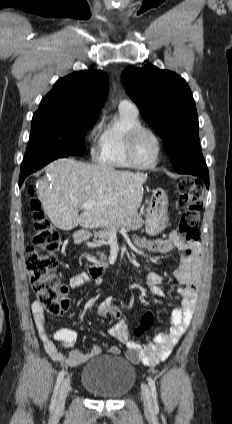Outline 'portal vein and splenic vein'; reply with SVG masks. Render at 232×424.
Listing matches in <instances>:
<instances>
[{
  "instance_id": "portal-vein-and-splenic-vein-1",
  "label": "portal vein and splenic vein",
  "mask_w": 232,
  "mask_h": 424,
  "mask_svg": "<svg viewBox=\"0 0 232 424\" xmlns=\"http://www.w3.org/2000/svg\"><path fill=\"white\" fill-rule=\"evenodd\" d=\"M95 204L96 203L93 202V201H86V202H83L81 205H79V207L81 209H89V208L93 207Z\"/></svg>"
}]
</instances>
